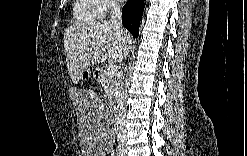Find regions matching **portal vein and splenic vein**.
Here are the masks:
<instances>
[{"label": "portal vein and splenic vein", "mask_w": 247, "mask_h": 156, "mask_svg": "<svg viewBox=\"0 0 247 156\" xmlns=\"http://www.w3.org/2000/svg\"><path fill=\"white\" fill-rule=\"evenodd\" d=\"M116 72H117V67H116V65L111 64V65H108V66L106 67V73H107L108 75H115Z\"/></svg>", "instance_id": "obj_1"}]
</instances>
